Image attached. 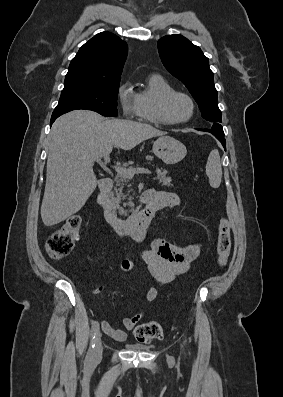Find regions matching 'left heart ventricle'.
Wrapping results in <instances>:
<instances>
[{"mask_svg": "<svg viewBox=\"0 0 283 397\" xmlns=\"http://www.w3.org/2000/svg\"><path fill=\"white\" fill-rule=\"evenodd\" d=\"M191 112V105L187 99L181 96L174 97L169 104V114L172 119H184Z\"/></svg>", "mask_w": 283, "mask_h": 397, "instance_id": "obj_1", "label": "left heart ventricle"}]
</instances>
